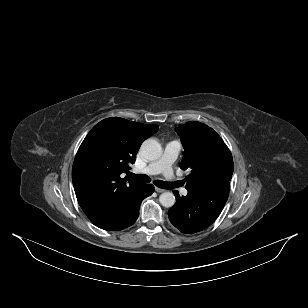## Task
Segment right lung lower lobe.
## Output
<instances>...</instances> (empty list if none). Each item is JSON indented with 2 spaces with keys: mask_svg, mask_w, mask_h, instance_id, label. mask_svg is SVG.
Returning <instances> with one entry per match:
<instances>
[{
  "mask_svg": "<svg viewBox=\"0 0 308 308\" xmlns=\"http://www.w3.org/2000/svg\"><path fill=\"white\" fill-rule=\"evenodd\" d=\"M153 191V185L143 184V186L137 192L136 196L130 202L129 206L119 217L113 220H106L94 224L99 228L108 231H119L131 226L138 218L141 201L144 198L150 196Z\"/></svg>",
  "mask_w": 308,
  "mask_h": 308,
  "instance_id": "1",
  "label": "right lung lower lobe"
}]
</instances>
